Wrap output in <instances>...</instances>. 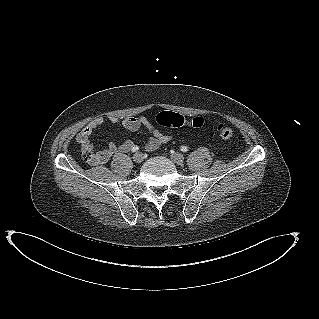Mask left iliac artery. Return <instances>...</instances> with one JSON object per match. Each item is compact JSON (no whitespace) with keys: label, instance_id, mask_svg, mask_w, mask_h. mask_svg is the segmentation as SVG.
Masks as SVG:
<instances>
[{"label":"left iliac artery","instance_id":"44dca946","mask_svg":"<svg viewBox=\"0 0 319 319\" xmlns=\"http://www.w3.org/2000/svg\"><path fill=\"white\" fill-rule=\"evenodd\" d=\"M180 149H181L182 152H187L188 151V148L186 146H181Z\"/></svg>","mask_w":319,"mask_h":319}]
</instances>
